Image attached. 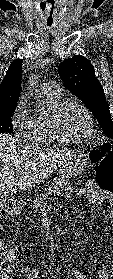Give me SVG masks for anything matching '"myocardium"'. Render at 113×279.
Listing matches in <instances>:
<instances>
[{
  "label": "myocardium",
  "instance_id": "f54148a6",
  "mask_svg": "<svg viewBox=\"0 0 113 279\" xmlns=\"http://www.w3.org/2000/svg\"><path fill=\"white\" fill-rule=\"evenodd\" d=\"M69 104H76L78 105L83 112L85 113L87 120H88V130L87 132L80 137H69L62 133L60 130L57 120L63 109ZM49 125L52 131L54 138L60 143H67V144H79L86 140H88L94 132L95 122L93 115L89 108L80 100L75 98H66L61 100L57 103V105L51 110L49 114Z\"/></svg>",
  "mask_w": 113,
  "mask_h": 279
}]
</instances>
